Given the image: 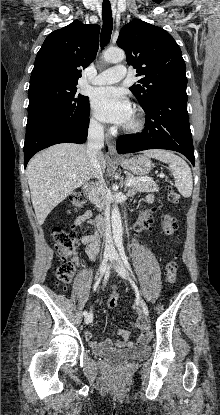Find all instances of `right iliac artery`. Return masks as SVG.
Here are the masks:
<instances>
[{"instance_id": "right-iliac-artery-1", "label": "right iliac artery", "mask_w": 220, "mask_h": 415, "mask_svg": "<svg viewBox=\"0 0 220 415\" xmlns=\"http://www.w3.org/2000/svg\"><path fill=\"white\" fill-rule=\"evenodd\" d=\"M101 277L102 276H100L98 279H97V281H96V283L94 284V291H96V289L98 288V286H99V283H100V281H101ZM83 315L84 316H87L88 315V312L85 310L84 312H83Z\"/></svg>"}]
</instances>
